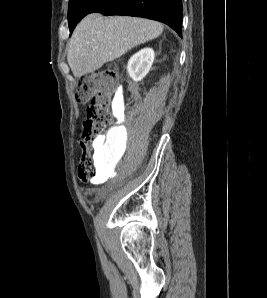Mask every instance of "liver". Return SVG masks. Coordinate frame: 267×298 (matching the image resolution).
Wrapping results in <instances>:
<instances>
[{
	"label": "liver",
	"mask_w": 267,
	"mask_h": 298,
	"mask_svg": "<svg viewBox=\"0 0 267 298\" xmlns=\"http://www.w3.org/2000/svg\"><path fill=\"white\" fill-rule=\"evenodd\" d=\"M162 24L128 16L104 17L92 13L76 26L68 47L67 61L80 78L100 69L137 45L157 38Z\"/></svg>",
	"instance_id": "liver-1"
}]
</instances>
